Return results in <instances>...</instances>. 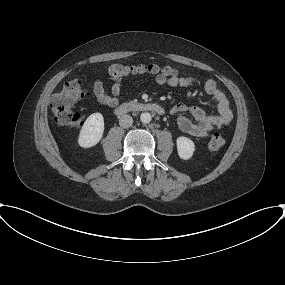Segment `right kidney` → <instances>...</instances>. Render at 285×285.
I'll use <instances>...</instances> for the list:
<instances>
[{
    "instance_id": "obj_1",
    "label": "right kidney",
    "mask_w": 285,
    "mask_h": 285,
    "mask_svg": "<svg viewBox=\"0 0 285 285\" xmlns=\"http://www.w3.org/2000/svg\"><path fill=\"white\" fill-rule=\"evenodd\" d=\"M104 132V118L101 113L91 114L84 122L78 137V144L83 148L95 146Z\"/></svg>"
}]
</instances>
